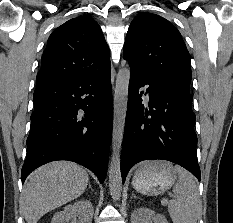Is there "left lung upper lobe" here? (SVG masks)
<instances>
[{
    "mask_svg": "<svg viewBox=\"0 0 233 223\" xmlns=\"http://www.w3.org/2000/svg\"><path fill=\"white\" fill-rule=\"evenodd\" d=\"M124 58L154 83L190 93L191 57L180 32L165 18L148 12L137 15L128 29Z\"/></svg>",
    "mask_w": 233,
    "mask_h": 223,
    "instance_id": "1",
    "label": "left lung upper lobe"
}]
</instances>
